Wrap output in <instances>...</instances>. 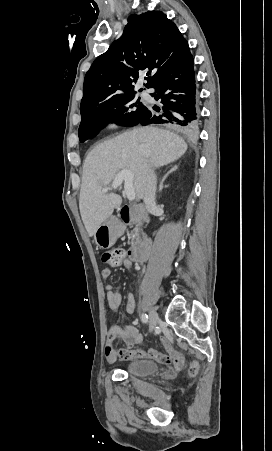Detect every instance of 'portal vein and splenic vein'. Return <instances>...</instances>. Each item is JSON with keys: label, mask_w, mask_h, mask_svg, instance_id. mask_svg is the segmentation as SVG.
<instances>
[{"label": "portal vein and splenic vein", "mask_w": 272, "mask_h": 451, "mask_svg": "<svg viewBox=\"0 0 272 451\" xmlns=\"http://www.w3.org/2000/svg\"><path fill=\"white\" fill-rule=\"evenodd\" d=\"M133 180L134 174L133 172H131V170H121V172L117 174L112 184V188H118V186H121L122 182H124L126 196L128 200L132 202V200H135L136 198L133 188ZM102 192H108V188H102Z\"/></svg>", "instance_id": "18ae733b"}]
</instances>
